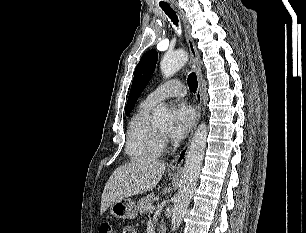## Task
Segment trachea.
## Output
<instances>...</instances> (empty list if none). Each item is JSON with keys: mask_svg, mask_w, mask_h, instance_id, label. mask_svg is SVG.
<instances>
[{"mask_svg": "<svg viewBox=\"0 0 306 233\" xmlns=\"http://www.w3.org/2000/svg\"><path fill=\"white\" fill-rule=\"evenodd\" d=\"M160 7L170 17L171 21H173V23L177 25L178 24V18L176 16L175 12L173 11V9L168 4H160ZM187 82H188V86H189L190 91L195 92L197 90V87H198L197 76L195 75V73H191L188 76Z\"/></svg>", "mask_w": 306, "mask_h": 233, "instance_id": "obj_1", "label": "trachea"}]
</instances>
